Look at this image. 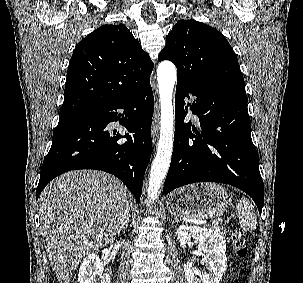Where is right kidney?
Here are the masks:
<instances>
[{
  "mask_svg": "<svg viewBox=\"0 0 303 283\" xmlns=\"http://www.w3.org/2000/svg\"><path fill=\"white\" fill-rule=\"evenodd\" d=\"M100 277V280L96 279ZM78 283H110V276L104 272L103 264L97 253L89 254L81 263Z\"/></svg>",
  "mask_w": 303,
  "mask_h": 283,
  "instance_id": "1",
  "label": "right kidney"
}]
</instances>
